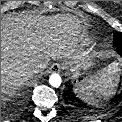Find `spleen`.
Masks as SVG:
<instances>
[{
  "mask_svg": "<svg viewBox=\"0 0 122 122\" xmlns=\"http://www.w3.org/2000/svg\"><path fill=\"white\" fill-rule=\"evenodd\" d=\"M119 62H113L101 74L75 85L74 93L85 103L99 107L116 93L119 82Z\"/></svg>",
  "mask_w": 122,
  "mask_h": 122,
  "instance_id": "1",
  "label": "spleen"
}]
</instances>
